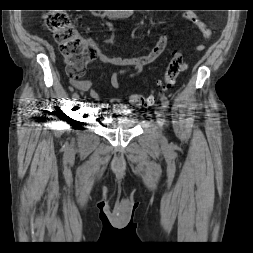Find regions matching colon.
I'll use <instances>...</instances> for the list:
<instances>
[{
	"label": "colon",
	"mask_w": 253,
	"mask_h": 253,
	"mask_svg": "<svg viewBox=\"0 0 253 253\" xmlns=\"http://www.w3.org/2000/svg\"><path fill=\"white\" fill-rule=\"evenodd\" d=\"M45 26L53 34L58 43L59 51L66 60V70L72 78L81 77L86 66L96 58V50L81 38L72 24L69 14L65 11H52L45 17ZM207 30L206 34L210 35ZM187 64L182 52L174 51L163 79L159 83V91L171 88L178 76L184 72ZM128 101L135 106H150L155 102L153 94H129Z\"/></svg>",
	"instance_id": "obj_1"
}]
</instances>
